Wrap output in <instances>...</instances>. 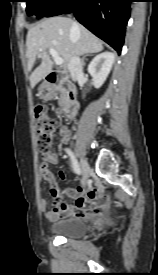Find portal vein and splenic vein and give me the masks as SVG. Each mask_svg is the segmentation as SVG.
I'll return each mask as SVG.
<instances>
[{
  "instance_id": "1",
  "label": "portal vein and splenic vein",
  "mask_w": 158,
  "mask_h": 275,
  "mask_svg": "<svg viewBox=\"0 0 158 275\" xmlns=\"http://www.w3.org/2000/svg\"><path fill=\"white\" fill-rule=\"evenodd\" d=\"M49 54L54 59L56 65H62L64 63V60L62 59V57L59 56V54L54 48L49 49Z\"/></svg>"
}]
</instances>
